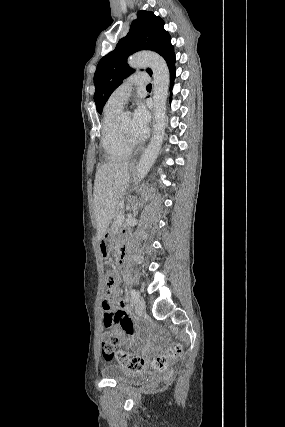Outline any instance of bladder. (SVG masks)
<instances>
[{"mask_svg":"<svg viewBox=\"0 0 285 427\" xmlns=\"http://www.w3.org/2000/svg\"><path fill=\"white\" fill-rule=\"evenodd\" d=\"M101 374L111 380L117 382H144L151 378V374L143 370H135L128 372L123 367L117 364H108L102 368Z\"/></svg>","mask_w":285,"mask_h":427,"instance_id":"31cf9c89","label":"bladder"}]
</instances>
